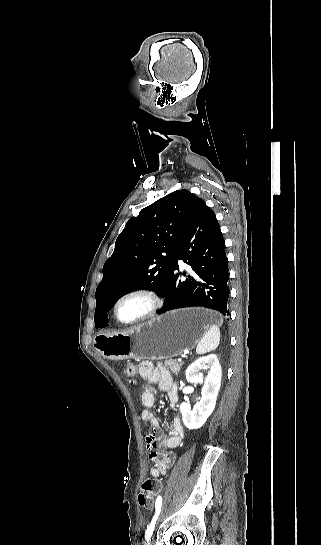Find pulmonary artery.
Segmentation results:
<instances>
[{
    "label": "pulmonary artery",
    "mask_w": 321,
    "mask_h": 545,
    "mask_svg": "<svg viewBox=\"0 0 321 545\" xmlns=\"http://www.w3.org/2000/svg\"><path fill=\"white\" fill-rule=\"evenodd\" d=\"M178 263H179V265H180L181 267H184V266H185V263H184L182 260H179Z\"/></svg>",
    "instance_id": "obj_1"
}]
</instances>
